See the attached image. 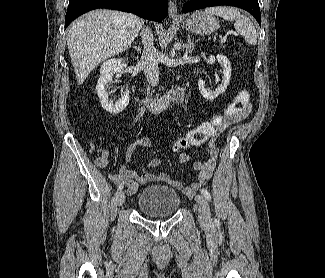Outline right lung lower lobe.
<instances>
[{
  "mask_svg": "<svg viewBox=\"0 0 325 278\" xmlns=\"http://www.w3.org/2000/svg\"><path fill=\"white\" fill-rule=\"evenodd\" d=\"M97 8L131 12L144 19L162 22L168 15V0H70L65 28L78 16Z\"/></svg>",
  "mask_w": 325,
  "mask_h": 278,
  "instance_id": "obj_1",
  "label": "right lung lower lobe"
}]
</instances>
